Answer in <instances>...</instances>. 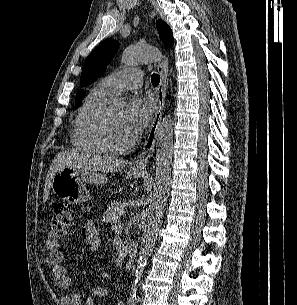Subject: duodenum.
Returning <instances> with one entry per match:
<instances>
[{"mask_svg":"<svg viewBox=\"0 0 297 305\" xmlns=\"http://www.w3.org/2000/svg\"><path fill=\"white\" fill-rule=\"evenodd\" d=\"M136 244L132 243L129 245L128 249H127V257L125 260V265L124 268L126 271H129L136 259Z\"/></svg>","mask_w":297,"mask_h":305,"instance_id":"obj_1","label":"duodenum"}]
</instances>
